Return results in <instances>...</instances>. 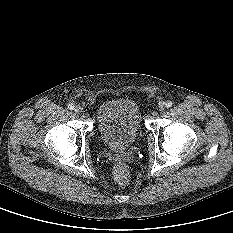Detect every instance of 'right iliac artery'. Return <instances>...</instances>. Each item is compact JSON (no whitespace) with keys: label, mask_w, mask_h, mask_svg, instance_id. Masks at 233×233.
Listing matches in <instances>:
<instances>
[{"label":"right iliac artery","mask_w":233,"mask_h":233,"mask_svg":"<svg viewBox=\"0 0 233 233\" xmlns=\"http://www.w3.org/2000/svg\"><path fill=\"white\" fill-rule=\"evenodd\" d=\"M74 107H75L74 104H72V103L68 104V109L73 110Z\"/></svg>","instance_id":"1"}]
</instances>
